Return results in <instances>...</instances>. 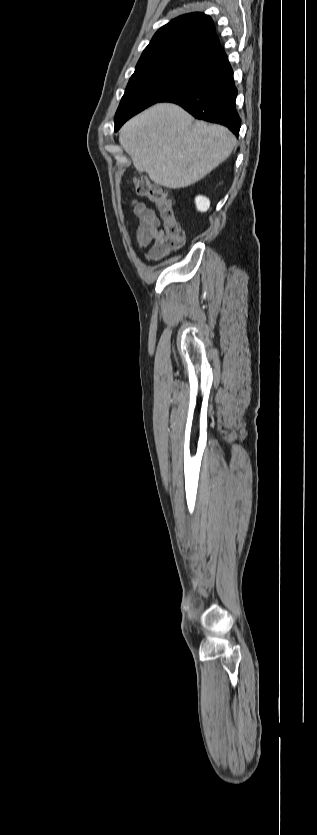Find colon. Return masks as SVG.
Here are the masks:
<instances>
[{
  "label": "colon",
  "instance_id": "obj_1",
  "mask_svg": "<svg viewBox=\"0 0 317 835\" xmlns=\"http://www.w3.org/2000/svg\"><path fill=\"white\" fill-rule=\"evenodd\" d=\"M133 189L137 195L145 197L155 204L163 221V236L157 251L164 255L179 249L184 242V231L176 217L173 202L167 192L163 188L153 185L144 177L133 180Z\"/></svg>",
  "mask_w": 317,
  "mask_h": 835
}]
</instances>
